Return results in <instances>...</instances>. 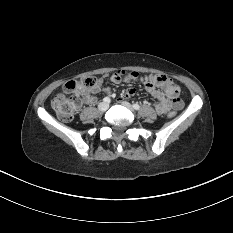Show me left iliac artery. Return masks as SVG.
Segmentation results:
<instances>
[{
    "label": "left iliac artery",
    "instance_id": "1",
    "mask_svg": "<svg viewBox=\"0 0 233 233\" xmlns=\"http://www.w3.org/2000/svg\"><path fill=\"white\" fill-rule=\"evenodd\" d=\"M133 108H134L135 110H139V109H140V106H139V104L135 103V104H133Z\"/></svg>",
    "mask_w": 233,
    "mask_h": 233
}]
</instances>
